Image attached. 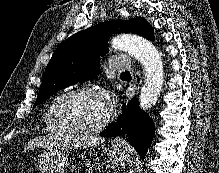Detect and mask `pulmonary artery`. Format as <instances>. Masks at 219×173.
Here are the masks:
<instances>
[{
    "instance_id": "pulmonary-artery-1",
    "label": "pulmonary artery",
    "mask_w": 219,
    "mask_h": 173,
    "mask_svg": "<svg viewBox=\"0 0 219 173\" xmlns=\"http://www.w3.org/2000/svg\"><path fill=\"white\" fill-rule=\"evenodd\" d=\"M109 67L113 71H127L130 69V61L128 58L115 56L109 60Z\"/></svg>"
}]
</instances>
